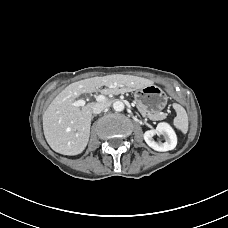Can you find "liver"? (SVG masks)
I'll use <instances>...</instances> for the list:
<instances>
[{"mask_svg":"<svg viewBox=\"0 0 228 228\" xmlns=\"http://www.w3.org/2000/svg\"><path fill=\"white\" fill-rule=\"evenodd\" d=\"M152 80L132 76L113 74L92 77L74 82L62 90L49 104L43 114V131L49 146L63 155H78L86 148L90 136L92 109L96 103L83 107L73 103L82 94L92 93L105 87V95L134 91L152 85Z\"/></svg>","mask_w":228,"mask_h":228,"instance_id":"1","label":"liver"}]
</instances>
